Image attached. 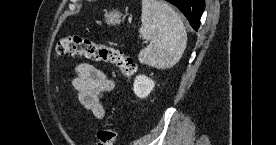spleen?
I'll use <instances>...</instances> for the list:
<instances>
[{
  "instance_id": "obj_1",
  "label": "spleen",
  "mask_w": 276,
  "mask_h": 145,
  "mask_svg": "<svg viewBox=\"0 0 276 145\" xmlns=\"http://www.w3.org/2000/svg\"><path fill=\"white\" fill-rule=\"evenodd\" d=\"M140 37L150 41L138 60L157 69H167L181 59L187 45V32L174 9L163 1L142 0Z\"/></svg>"
}]
</instances>
